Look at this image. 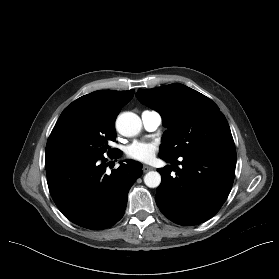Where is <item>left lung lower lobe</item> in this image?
<instances>
[{
	"label": "left lung lower lobe",
	"mask_w": 279,
	"mask_h": 279,
	"mask_svg": "<svg viewBox=\"0 0 279 279\" xmlns=\"http://www.w3.org/2000/svg\"><path fill=\"white\" fill-rule=\"evenodd\" d=\"M181 167L176 159L171 162L176 177L171 176L169 165L158 169L162 182L155 200L160 211L179 225H197L213 217L227 199L236 166V151L207 150L185 154Z\"/></svg>",
	"instance_id": "left-lung-lower-lobe-1"
}]
</instances>
